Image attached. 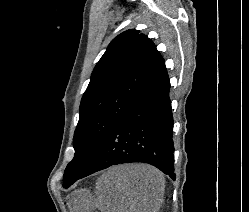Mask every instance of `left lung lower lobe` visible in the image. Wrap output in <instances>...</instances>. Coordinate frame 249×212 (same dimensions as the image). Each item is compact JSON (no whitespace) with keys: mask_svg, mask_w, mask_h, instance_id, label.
Masks as SVG:
<instances>
[{"mask_svg":"<svg viewBox=\"0 0 249 212\" xmlns=\"http://www.w3.org/2000/svg\"><path fill=\"white\" fill-rule=\"evenodd\" d=\"M169 89V77L163 63L120 116L94 161L79 179L112 165L144 162L175 180Z\"/></svg>","mask_w":249,"mask_h":212,"instance_id":"left-lung-lower-lobe-1","label":"left lung lower lobe"}]
</instances>
